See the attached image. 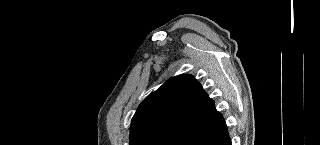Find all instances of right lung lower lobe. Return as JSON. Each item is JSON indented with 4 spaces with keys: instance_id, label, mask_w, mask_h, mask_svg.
Instances as JSON below:
<instances>
[{
    "instance_id": "obj_1",
    "label": "right lung lower lobe",
    "mask_w": 320,
    "mask_h": 145,
    "mask_svg": "<svg viewBox=\"0 0 320 145\" xmlns=\"http://www.w3.org/2000/svg\"><path fill=\"white\" fill-rule=\"evenodd\" d=\"M167 145H231L227 126L220 113L211 120L177 133Z\"/></svg>"
}]
</instances>
